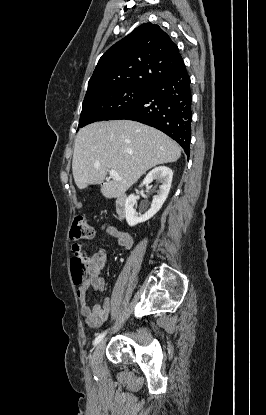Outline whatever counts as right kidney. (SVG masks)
<instances>
[{
  "label": "right kidney",
  "instance_id": "ca27d5eb",
  "mask_svg": "<svg viewBox=\"0 0 266 415\" xmlns=\"http://www.w3.org/2000/svg\"><path fill=\"white\" fill-rule=\"evenodd\" d=\"M172 177V170L166 166L156 167L146 175L143 182L141 183V186L148 185L152 183L153 180H159L162 184L157 191V195L153 198L151 208L143 215H138L134 209V206L137 202V197L134 194H131L127 198L125 203V216L129 226H135L138 223L149 220L161 209L169 194Z\"/></svg>",
  "mask_w": 266,
  "mask_h": 415
}]
</instances>
